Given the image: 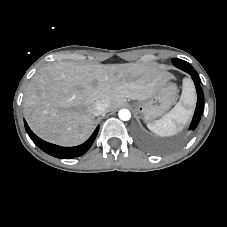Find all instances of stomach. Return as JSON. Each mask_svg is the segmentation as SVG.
<instances>
[{
	"label": "stomach",
	"instance_id": "stomach-1",
	"mask_svg": "<svg viewBox=\"0 0 227 227\" xmlns=\"http://www.w3.org/2000/svg\"><path fill=\"white\" fill-rule=\"evenodd\" d=\"M177 93V86L168 82L149 99L136 102L134 108L145 122L154 121L176 102Z\"/></svg>",
	"mask_w": 227,
	"mask_h": 227
}]
</instances>
